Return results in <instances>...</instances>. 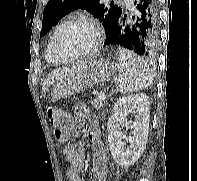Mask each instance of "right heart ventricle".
I'll list each match as a JSON object with an SVG mask.
<instances>
[{"label":"right heart ventricle","instance_id":"right-heart-ventricle-1","mask_svg":"<svg viewBox=\"0 0 197 181\" xmlns=\"http://www.w3.org/2000/svg\"><path fill=\"white\" fill-rule=\"evenodd\" d=\"M65 20H61L59 21L53 28L51 35L48 39V43L46 46V50H45V59L48 63L51 64H56L58 63V60L56 59L55 55H54V51H53V44H54V38L56 33L58 32L59 28L65 23Z\"/></svg>","mask_w":197,"mask_h":181}]
</instances>
